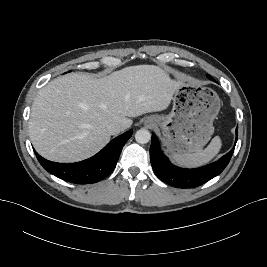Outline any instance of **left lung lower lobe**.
Returning <instances> with one entry per match:
<instances>
[{
  "label": "left lung lower lobe",
  "mask_w": 267,
  "mask_h": 267,
  "mask_svg": "<svg viewBox=\"0 0 267 267\" xmlns=\"http://www.w3.org/2000/svg\"><path fill=\"white\" fill-rule=\"evenodd\" d=\"M213 80V78H211ZM238 128H236V141ZM234 147L218 161L196 169H183L171 164L169 159L162 153L160 143L153 133L150 147V161L157 177L165 183L176 188L198 187L215 176L219 175L229 163Z\"/></svg>",
  "instance_id": "left-lung-lower-lobe-1"
}]
</instances>
